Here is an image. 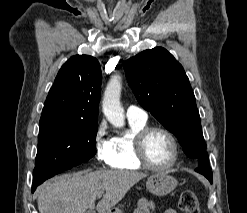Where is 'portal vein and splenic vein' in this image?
I'll return each mask as SVG.
<instances>
[{"label":"portal vein and splenic vein","mask_w":247,"mask_h":213,"mask_svg":"<svg viewBox=\"0 0 247 213\" xmlns=\"http://www.w3.org/2000/svg\"><path fill=\"white\" fill-rule=\"evenodd\" d=\"M101 196H102V194H99V195H98V197H101Z\"/></svg>","instance_id":"18ae733b"}]
</instances>
